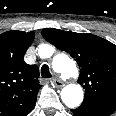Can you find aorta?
Listing matches in <instances>:
<instances>
[{"label":"aorta","mask_w":116,"mask_h":116,"mask_svg":"<svg viewBox=\"0 0 116 116\" xmlns=\"http://www.w3.org/2000/svg\"><path fill=\"white\" fill-rule=\"evenodd\" d=\"M38 53L41 56L48 57L49 46L41 45L38 48ZM52 65L54 70L57 73H60V75L65 79L76 77L78 75V70L75 63L64 54L57 55L53 59ZM60 95L64 104L69 108H76L83 101V90L79 84H69L65 86Z\"/></svg>","instance_id":"762f6f07"}]
</instances>
